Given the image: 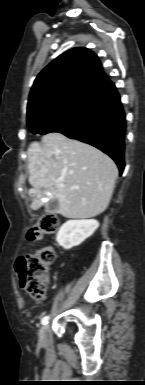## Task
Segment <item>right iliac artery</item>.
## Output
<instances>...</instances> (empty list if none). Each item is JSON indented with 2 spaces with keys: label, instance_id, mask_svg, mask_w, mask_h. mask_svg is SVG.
Masks as SVG:
<instances>
[{
  "label": "right iliac artery",
  "instance_id": "1",
  "mask_svg": "<svg viewBox=\"0 0 145 385\" xmlns=\"http://www.w3.org/2000/svg\"><path fill=\"white\" fill-rule=\"evenodd\" d=\"M48 320H49V316H45V317L42 318L41 323H42L43 325H45V324L48 323Z\"/></svg>",
  "mask_w": 145,
  "mask_h": 385
}]
</instances>
